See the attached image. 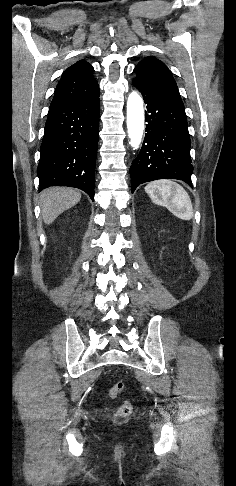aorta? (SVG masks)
<instances>
[{
  "label": "aorta",
  "mask_w": 236,
  "mask_h": 486,
  "mask_svg": "<svg viewBox=\"0 0 236 486\" xmlns=\"http://www.w3.org/2000/svg\"><path fill=\"white\" fill-rule=\"evenodd\" d=\"M127 129L129 144L137 149L142 140L144 131V108L143 101L137 92H132L127 100Z\"/></svg>",
  "instance_id": "aorta-1"
}]
</instances>
